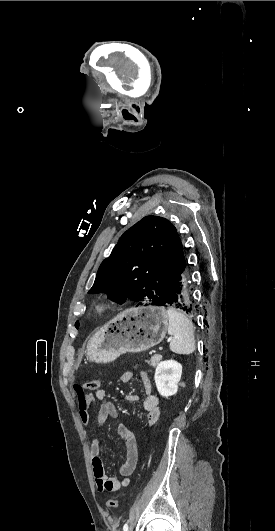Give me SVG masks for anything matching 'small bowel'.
<instances>
[{
	"mask_svg": "<svg viewBox=\"0 0 275 531\" xmlns=\"http://www.w3.org/2000/svg\"><path fill=\"white\" fill-rule=\"evenodd\" d=\"M133 378L132 371H125L121 375V382L126 384L131 382ZM139 379L142 385L143 396L140 397L136 394L129 393L125 396V399L130 402L142 401V409L146 414V420L149 426H153L157 423L160 417V401L158 396L153 392L152 381L146 371L139 373ZM72 392L75 396L81 397L84 394L83 385L81 383H74L72 385ZM106 391L100 389L95 394H85V398L79 400L78 405L80 407V419L82 423L87 426L91 423V411L92 405L100 402L96 427L102 428L106 423V420L110 418L118 417V410L116 405L111 401H105ZM118 434L124 440L125 444V460L120 466V476L108 477L104 471V464L101 455L104 451V445L99 437L93 439L90 447V456L92 460L93 472L96 480V487L99 492L104 491H117L123 487L129 485L130 477L133 474L135 468L140 461V455L138 452V446L136 438L132 431L123 424L118 426Z\"/></svg>",
	"mask_w": 275,
	"mask_h": 531,
	"instance_id": "c3829d8e",
	"label": "small bowel"
}]
</instances>
